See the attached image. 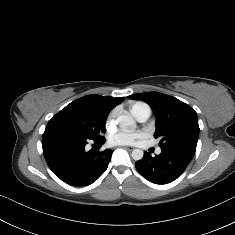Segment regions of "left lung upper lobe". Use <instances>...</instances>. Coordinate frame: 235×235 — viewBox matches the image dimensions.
<instances>
[{
  "label": "left lung upper lobe",
  "mask_w": 235,
  "mask_h": 235,
  "mask_svg": "<svg viewBox=\"0 0 235 235\" xmlns=\"http://www.w3.org/2000/svg\"><path fill=\"white\" fill-rule=\"evenodd\" d=\"M128 98L143 100L152 107L156 116L154 137L161 138V148H178L195 154L199 125L193 108L175 97L159 92L133 94Z\"/></svg>",
  "instance_id": "5c2ea615"
}]
</instances>
